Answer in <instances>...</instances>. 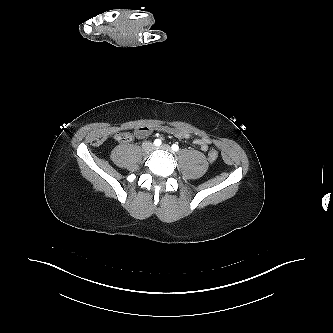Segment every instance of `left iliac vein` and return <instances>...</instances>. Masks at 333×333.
<instances>
[{
	"label": "left iliac vein",
	"instance_id": "1",
	"mask_svg": "<svg viewBox=\"0 0 333 333\" xmlns=\"http://www.w3.org/2000/svg\"><path fill=\"white\" fill-rule=\"evenodd\" d=\"M159 149L161 150H165V151H168V152H172V149L169 145L167 144H164V145H161L160 147H158Z\"/></svg>",
	"mask_w": 333,
	"mask_h": 333
}]
</instances>
